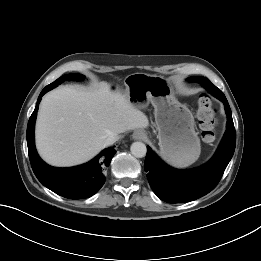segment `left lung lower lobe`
Segmentation results:
<instances>
[{"label": "left lung lower lobe", "mask_w": 261, "mask_h": 261, "mask_svg": "<svg viewBox=\"0 0 261 261\" xmlns=\"http://www.w3.org/2000/svg\"><path fill=\"white\" fill-rule=\"evenodd\" d=\"M193 81L201 83L208 92L224 103L227 129L211 160L193 170H177L166 165L147 146L144 163L147 179L154 193L168 203L193 201L212 191L220 181L235 150L236 132L225 95L205 77H194Z\"/></svg>", "instance_id": "left-lung-lower-lobe-1"}]
</instances>
